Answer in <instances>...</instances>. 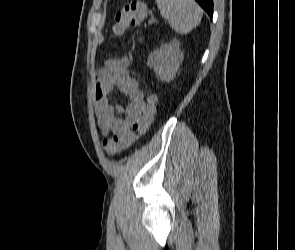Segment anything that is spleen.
Listing matches in <instances>:
<instances>
[{"instance_id": "obj_1", "label": "spleen", "mask_w": 295, "mask_h": 250, "mask_svg": "<svg viewBox=\"0 0 295 250\" xmlns=\"http://www.w3.org/2000/svg\"><path fill=\"white\" fill-rule=\"evenodd\" d=\"M164 19L171 21L174 30L187 34L201 22L203 11L194 0H155Z\"/></svg>"}]
</instances>
